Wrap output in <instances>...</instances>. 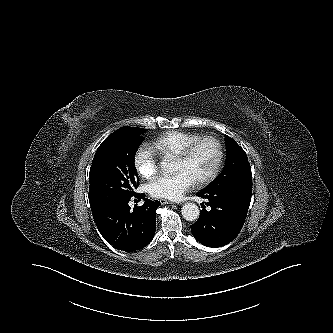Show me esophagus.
<instances>
[{
  "label": "esophagus",
  "instance_id": "1",
  "mask_svg": "<svg viewBox=\"0 0 333 333\" xmlns=\"http://www.w3.org/2000/svg\"><path fill=\"white\" fill-rule=\"evenodd\" d=\"M161 204L165 205V204H171L172 202L166 199H160L159 200Z\"/></svg>",
  "mask_w": 333,
  "mask_h": 333
}]
</instances>
